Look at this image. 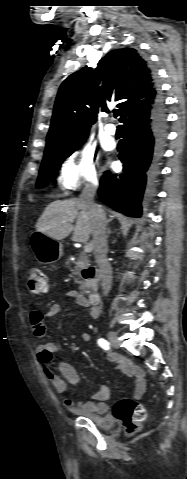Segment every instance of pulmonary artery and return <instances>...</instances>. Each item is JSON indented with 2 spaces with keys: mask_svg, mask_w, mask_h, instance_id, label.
Listing matches in <instances>:
<instances>
[{
  "mask_svg": "<svg viewBox=\"0 0 187 479\" xmlns=\"http://www.w3.org/2000/svg\"><path fill=\"white\" fill-rule=\"evenodd\" d=\"M105 131L109 134V135H115L116 132H117V128L114 124L112 123H109L105 126Z\"/></svg>",
  "mask_w": 187,
  "mask_h": 479,
  "instance_id": "pulmonary-artery-1",
  "label": "pulmonary artery"
}]
</instances>
